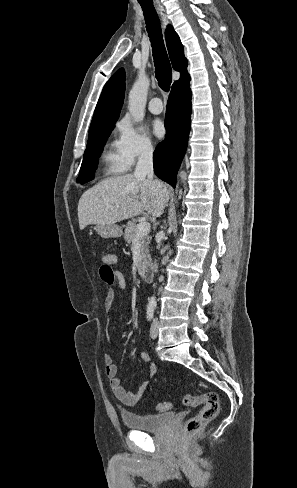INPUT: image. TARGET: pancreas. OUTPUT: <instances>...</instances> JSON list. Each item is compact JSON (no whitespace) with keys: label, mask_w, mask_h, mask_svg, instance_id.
<instances>
[{"label":"pancreas","mask_w":297,"mask_h":488,"mask_svg":"<svg viewBox=\"0 0 297 488\" xmlns=\"http://www.w3.org/2000/svg\"><path fill=\"white\" fill-rule=\"evenodd\" d=\"M136 221L132 220L127 223L124 239L128 244H132L134 240H138L140 244V252H141V261L138 264V269L141 268L144 264L150 262V254H149V244L151 237L147 234L136 236Z\"/></svg>","instance_id":"1"}]
</instances>
